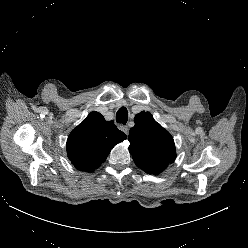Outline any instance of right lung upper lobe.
Masks as SVG:
<instances>
[{"label":"right lung upper lobe","mask_w":248,"mask_h":248,"mask_svg":"<svg viewBox=\"0 0 248 248\" xmlns=\"http://www.w3.org/2000/svg\"><path fill=\"white\" fill-rule=\"evenodd\" d=\"M126 139L113 121L91 112L69 135L68 158L80 171L93 172L106 160L111 149Z\"/></svg>","instance_id":"1"}]
</instances>
